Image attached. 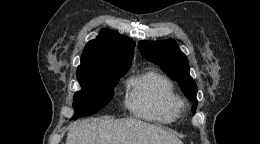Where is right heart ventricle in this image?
<instances>
[{
  "label": "right heart ventricle",
  "instance_id": "right-heart-ventricle-1",
  "mask_svg": "<svg viewBox=\"0 0 260 144\" xmlns=\"http://www.w3.org/2000/svg\"><path fill=\"white\" fill-rule=\"evenodd\" d=\"M126 105L136 116L159 124L179 117L181 100L172 82L155 70L132 76L127 82Z\"/></svg>",
  "mask_w": 260,
  "mask_h": 144
}]
</instances>
